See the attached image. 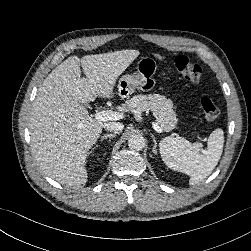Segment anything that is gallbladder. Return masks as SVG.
I'll list each match as a JSON object with an SVG mask.
<instances>
[{
	"mask_svg": "<svg viewBox=\"0 0 251 251\" xmlns=\"http://www.w3.org/2000/svg\"><path fill=\"white\" fill-rule=\"evenodd\" d=\"M84 106L88 107V105H87V104H84Z\"/></svg>",
	"mask_w": 251,
	"mask_h": 251,
	"instance_id": "gallbladder-1",
	"label": "gallbladder"
}]
</instances>
